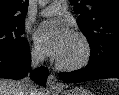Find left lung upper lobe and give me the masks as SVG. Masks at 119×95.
<instances>
[{"instance_id":"obj_1","label":"left lung upper lobe","mask_w":119,"mask_h":95,"mask_svg":"<svg viewBox=\"0 0 119 95\" xmlns=\"http://www.w3.org/2000/svg\"><path fill=\"white\" fill-rule=\"evenodd\" d=\"M79 15L77 24L90 47V60L105 62L119 50V0H70Z\"/></svg>"}]
</instances>
